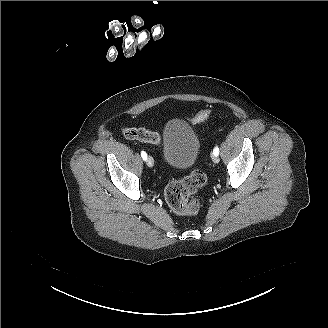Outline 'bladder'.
<instances>
[{"label":"bladder","instance_id":"bladder-1","mask_svg":"<svg viewBox=\"0 0 328 328\" xmlns=\"http://www.w3.org/2000/svg\"><path fill=\"white\" fill-rule=\"evenodd\" d=\"M184 125L170 121L165 131L163 156L165 162L174 168H188L197 159L198 141L195 135L188 131L183 132Z\"/></svg>","mask_w":328,"mask_h":328}]
</instances>
